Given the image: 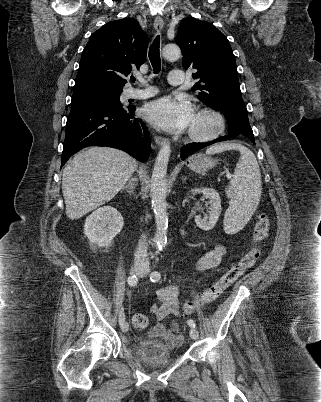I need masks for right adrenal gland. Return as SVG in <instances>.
<instances>
[{"mask_svg":"<svg viewBox=\"0 0 321 402\" xmlns=\"http://www.w3.org/2000/svg\"><path fill=\"white\" fill-rule=\"evenodd\" d=\"M136 182H137V179L134 178V177H131V178L129 179V182H128L125 186H123V187L121 188V190L127 189V191H128L130 194H132L133 191H134V189H135Z\"/></svg>","mask_w":321,"mask_h":402,"instance_id":"obj_1","label":"right adrenal gland"}]
</instances>
